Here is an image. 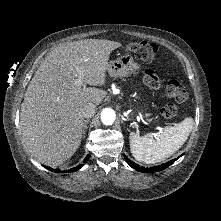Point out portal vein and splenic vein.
<instances>
[{"instance_id":"obj_1","label":"portal vein and splenic vein","mask_w":221,"mask_h":221,"mask_svg":"<svg viewBox=\"0 0 221 221\" xmlns=\"http://www.w3.org/2000/svg\"><path fill=\"white\" fill-rule=\"evenodd\" d=\"M75 70L78 75L77 79L75 80V85L81 86L83 83V76H84L83 71L79 67H76Z\"/></svg>"}]
</instances>
